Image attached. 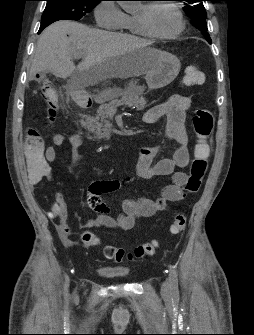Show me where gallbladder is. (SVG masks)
Here are the masks:
<instances>
[{
    "instance_id": "gallbladder-1",
    "label": "gallbladder",
    "mask_w": 254,
    "mask_h": 335,
    "mask_svg": "<svg viewBox=\"0 0 254 335\" xmlns=\"http://www.w3.org/2000/svg\"><path fill=\"white\" fill-rule=\"evenodd\" d=\"M44 78H45V72H41L40 77L38 78V80H42Z\"/></svg>"
}]
</instances>
